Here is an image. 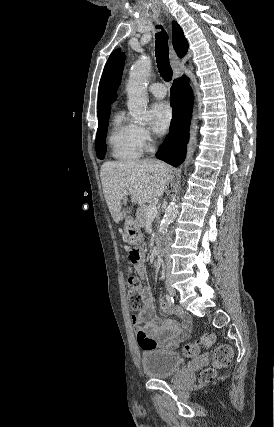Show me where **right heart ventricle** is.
Wrapping results in <instances>:
<instances>
[{
    "label": "right heart ventricle",
    "mask_w": 274,
    "mask_h": 427,
    "mask_svg": "<svg viewBox=\"0 0 274 427\" xmlns=\"http://www.w3.org/2000/svg\"><path fill=\"white\" fill-rule=\"evenodd\" d=\"M108 147L111 156L119 161H135L142 154L137 126L127 120L123 113L115 116L114 127L108 137Z\"/></svg>",
    "instance_id": "1"
}]
</instances>
